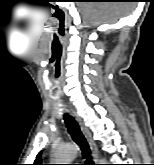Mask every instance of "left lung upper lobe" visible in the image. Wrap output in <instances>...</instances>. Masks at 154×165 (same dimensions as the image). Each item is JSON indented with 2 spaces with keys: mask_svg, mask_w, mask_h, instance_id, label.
Instances as JSON below:
<instances>
[{
  "mask_svg": "<svg viewBox=\"0 0 154 165\" xmlns=\"http://www.w3.org/2000/svg\"><path fill=\"white\" fill-rule=\"evenodd\" d=\"M41 154H42V151H40L38 153L33 165H42V163H41Z\"/></svg>",
  "mask_w": 154,
  "mask_h": 165,
  "instance_id": "obj_1",
  "label": "left lung upper lobe"
}]
</instances>
